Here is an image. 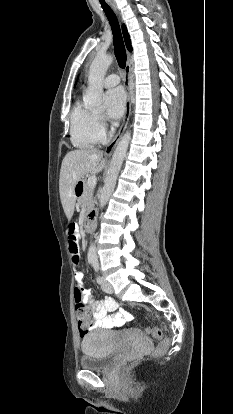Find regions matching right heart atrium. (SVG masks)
Here are the masks:
<instances>
[{
  "label": "right heart atrium",
  "instance_id": "obj_1",
  "mask_svg": "<svg viewBox=\"0 0 233 414\" xmlns=\"http://www.w3.org/2000/svg\"><path fill=\"white\" fill-rule=\"evenodd\" d=\"M97 124H98L99 130H100L102 136L104 137V135H105V132H104L105 121H104V118L102 116H97Z\"/></svg>",
  "mask_w": 233,
  "mask_h": 414
}]
</instances>
